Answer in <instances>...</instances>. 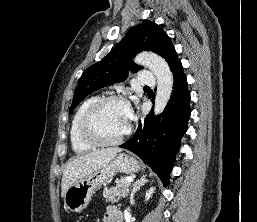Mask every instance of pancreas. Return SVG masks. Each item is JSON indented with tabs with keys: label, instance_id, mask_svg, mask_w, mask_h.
Instances as JSON below:
<instances>
[{
	"label": "pancreas",
	"instance_id": "pancreas-1",
	"mask_svg": "<svg viewBox=\"0 0 257 222\" xmlns=\"http://www.w3.org/2000/svg\"><path fill=\"white\" fill-rule=\"evenodd\" d=\"M130 183L126 181L125 178L118 180L115 187L105 188L103 191V196L107 202H118L121 197H126L129 193Z\"/></svg>",
	"mask_w": 257,
	"mask_h": 222
}]
</instances>
